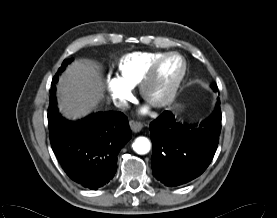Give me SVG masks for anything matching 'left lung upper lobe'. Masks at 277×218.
Instances as JSON below:
<instances>
[{
  "label": "left lung upper lobe",
  "instance_id": "1",
  "mask_svg": "<svg viewBox=\"0 0 277 218\" xmlns=\"http://www.w3.org/2000/svg\"><path fill=\"white\" fill-rule=\"evenodd\" d=\"M212 88L214 89V91H217V87H213V86H212Z\"/></svg>",
  "mask_w": 277,
  "mask_h": 218
}]
</instances>
